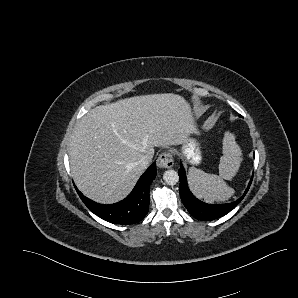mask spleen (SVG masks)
Masks as SVG:
<instances>
[{"label": "spleen", "mask_w": 298, "mask_h": 298, "mask_svg": "<svg viewBox=\"0 0 298 298\" xmlns=\"http://www.w3.org/2000/svg\"><path fill=\"white\" fill-rule=\"evenodd\" d=\"M222 153L219 163V175L209 174L196 167L188 170L189 187L198 198L207 203L226 201L235 192L225 180H232L243 161L242 151L235 141V135L229 131L224 133Z\"/></svg>", "instance_id": "spleen-1"}]
</instances>
